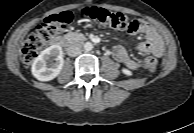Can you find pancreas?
Masks as SVG:
<instances>
[{"instance_id":"obj_1","label":"pancreas","mask_w":194,"mask_h":133,"mask_svg":"<svg viewBox=\"0 0 194 133\" xmlns=\"http://www.w3.org/2000/svg\"><path fill=\"white\" fill-rule=\"evenodd\" d=\"M83 35L82 34H79V33H76V32H69L67 35H66V37L68 38V39H71V40H76V39H78V38H80V37H82Z\"/></svg>"}]
</instances>
